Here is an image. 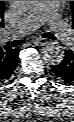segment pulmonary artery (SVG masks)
<instances>
[{
	"label": "pulmonary artery",
	"mask_w": 74,
	"mask_h": 122,
	"mask_svg": "<svg viewBox=\"0 0 74 122\" xmlns=\"http://www.w3.org/2000/svg\"><path fill=\"white\" fill-rule=\"evenodd\" d=\"M59 1H38L36 6L21 20L12 26L8 32L9 37L23 36L49 22L54 34L64 46H71L74 37L61 21L58 14Z\"/></svg>",
	"instance_id": "e3ab8cb5"
}]
</instances>
